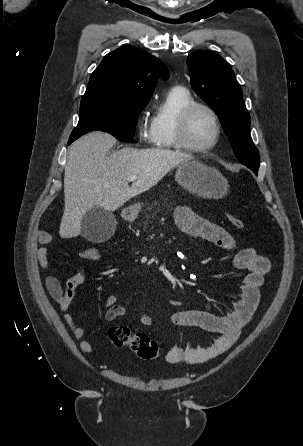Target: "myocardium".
Returning a JSON list of instances; mask_svg holds the SVG:
<instances>
[{"mask_svg":"<svg viewBox=\"0 0 303 446\" xmlns=\"http://www.w3.org/2000/svg\"><path fill=\"white\" fill-rule=\"evenodd\" d=\"M197 109L205 110L211 116L215 127L214 138L212 142L206 146H195L189 142L187 137L189 118L191 114ZM221 131H222L221 123L215 110L207 104L200 102H192L188 106H186L178 115L176 122V142L178 147L184 150L195 153H204L216 147L221 138Z\"/></svg>","mask_w":303,"mask_h":446,"instance_id":"myocardium-1","label":"myocardium"}]
</instances>
